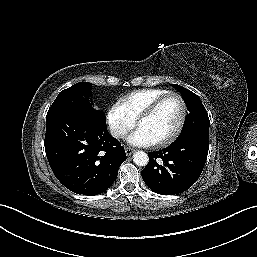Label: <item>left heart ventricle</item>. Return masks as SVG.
I'll list each match as a JSON object with an SVG mask.
<instances>
[{
	"label": "left heart ventricle",
	"instance_id": "b2bd125f",
	"mask_svg": "<svg viewBox=\"0 0 257 257\" xmlns=\"http://www.w3.org/2000/svg\"><path fill=\"white\" fill-rule=\"evenodd\" d=\"M181 104L178 98L171 97L149 118L139 123L142 128L155 141L158 142L176 129L181 118Z\"/></svg>",
	"mask_w": 257,
	"mask_h": 257
}]
</instances>
